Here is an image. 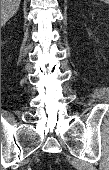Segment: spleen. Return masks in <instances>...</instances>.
Returning <instances> with one entry per match:
<instances>
[{
	"label": "spleen",
	"instance_id": "3e777b00",
	"mask_svg": "<svg viewBox=\"0 0 109 170\" xmlns=\"http://www.w3.org/2000/svg\"><path fill=\"white\" fill-rule=\"evenodd\" d=\"M100 1H103V2H105V3H108V2H109V0H100Z\"/></svg>",
	"mask_w": 109,
	"mask_h": 170
}]
</instances>
